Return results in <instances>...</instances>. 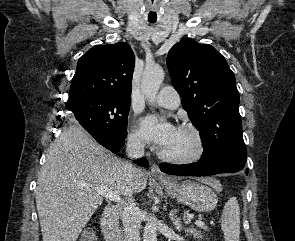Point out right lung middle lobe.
I'll list each match as a JSON object with an SVG mask.
<instances>
[{
	"label": "right lung middle lobe",
	"instance_id": "dd1d6c3e",
	"mask_svg": "<svg viewBox=\"0 0 295 241\" xmlns=\"http://www.w3.org/2000/svg\"><path fill=\"white\" fill-rule=\"evenodd\" d=\"M77 124L114 138L127 137L130 101L85 100L66 106Z\"/></svg>",
	"mask_w": 295,
	"mask_h": 241
}]
</instances>
